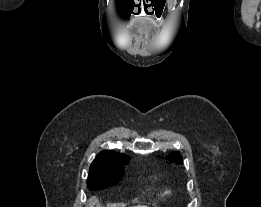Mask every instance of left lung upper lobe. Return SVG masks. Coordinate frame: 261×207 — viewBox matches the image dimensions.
Wrapping results in <instances>:
<instances>
[{"label":"left lung upper lobe","mask_w":261,"mask_h":207,"mask_svg":"<svg viewBox=\"0 0 261 207\" xmlns=\"http://www.w3.org/2000/svg\"><path fill=\"white\" fill-rule=\"evenodd\" d=\"M168 160L174 163L183 164L182 157L178 152H174L168 156Z\"/></svg>","instance_id":"5c2ea615"}]
</instances>
